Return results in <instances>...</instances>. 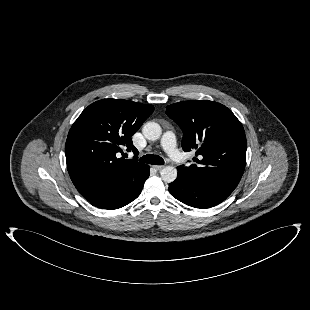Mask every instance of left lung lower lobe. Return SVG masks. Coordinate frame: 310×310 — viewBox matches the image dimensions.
I'll list each match as a JSON object with an SVG mask.
<instances>
[{
	"instance_id": "0a47b994",
	"label": "left lung lower lobe",
	"mask_w": 310,
	"mask_h": 310,
	"mask_svg": "<svg viewBox=\"0 0 310 310\" xmlns=\"http://www.w3.org/2000/svg\"><path fill=\"white\" fill-rule=\"evenodd\" d=\"M173 197L195 208H210L224 201L232 191L191 178L178 172L176 180L169 184Z\"/></svg>"
}]
</instances>
